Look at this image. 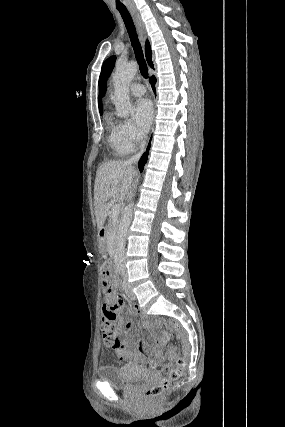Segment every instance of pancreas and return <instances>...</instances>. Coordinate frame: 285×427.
Here are the masks:
<instances>
[{
  "mask_svg": "<svg viewBox=\"0 0 285 427\" xmlns=\"http://www.w3.org/2000/svg\"><path fill=\"white\" fill-rule=\"evenodd\" d=\"M116 229H117L116 219H114L113 216L111 215L110 223L108 225V239L109 240L113 239L115 232H116Z\"/></svg>",
  "mask_w": 285,
  "mask_h": 427,
  "instance_id": "1",
  "label": "pancreas"
}]
</instances>
